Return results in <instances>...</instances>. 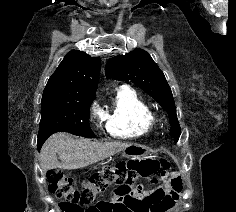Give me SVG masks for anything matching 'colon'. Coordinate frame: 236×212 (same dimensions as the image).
Instances as JSON below:
<instances>
[{
	"instance_id": "1",
	"label": "colon",
	"mask_w": 236,
	"mask_h": 212,
	"mask_svg": "<svg viewBox=\"0 0 236 212\" xmlns=\"http://www.w3.org/2000/svg\"><path fill=\"white\" fill-rule=\"evenodd\" d=\"M166 166V163L160 164L155 161H119L113 166L94 172L83 182L82 187H78L71 177L58 170L49 171L46 179L50 192L65 201V209L75 212L76 207L91 203L97 194L111 185H116V179H130V176H139L140 179L151 176V185L156 187L159 180L155 175L161 167Z\"/></svg>"
}]
</instances>
